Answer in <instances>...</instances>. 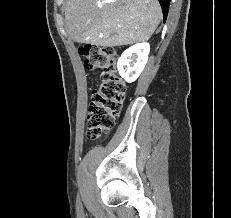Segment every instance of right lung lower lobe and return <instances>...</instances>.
<instances>
[{"label":"right lung lower lobe","mask_w":231,"mask_h":218,"mask_svg":"<svg viewBox=\"0 0 231 218\" xmlns=\"http://www.w3.org/2000/svg\"><path fill=\"white\" fill-rule=\"evenodd\" d=\"M158 1L162 7L163 17H164V21H165L167 14H168V10H169L170 0H158Z\"/></svg>","instance_id":"98d812e1"}]
</instances>
